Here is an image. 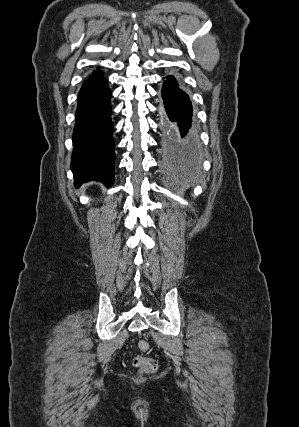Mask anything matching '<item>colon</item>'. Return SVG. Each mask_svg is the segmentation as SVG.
I'll list each match as a JSON object with an SVG mask.
<instances>
[{
    "label": "colon",
    "instance_id": "5ec220e1",
    "mask_svg": "<svg viewBox=\"0 0 299 427\" xmlns=\"http://www.w3.org/2000/svg\"><path fill=\"white\" fill-rule=\"evenodd\" d=\"M138 350L145 352L149 349V343L140 341L137 345ZM133 364L140 369L142 373H152L157 370L158 362L156 359L138 355L134 357Z\"/></svg>",
    "mask_w": 299,
    "mask_h": 427
}]
</instances>
